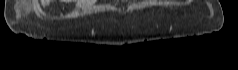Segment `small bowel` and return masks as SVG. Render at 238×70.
<instances>
[{"label":"small bowel","instance_id":"c3829d8e","mask_svg":"<svg viewBox=\"0 0 238 70\" xmlns=\"http://www.w3.org/2000/svg\"><path fill=\"white\" fill-rule=\"evenodd\" d=\"M77 3H78L79 6H81V5H83L85 3V1L84 0H78Z\"/></svg>","mask_w":238,"mask_h":70}]
</instances>
